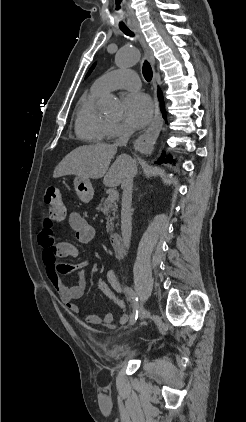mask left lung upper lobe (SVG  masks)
I'll use <instances>...</instances> for the list:
<instances>
[{"label": "left lung upper lobe", "instance_id": "5c2ea615", "mask_svg": "<svg viewBox=\"0 0 246 422\" xmlns=\"http://www.w3.org/2000/svg\"><path fill=\"white\" fill-rule=\"evenodd\" d=\"M94 66H95V65H93V66L91 67V69L89 70V72H88L87 76L91 73V71L93 70Z\"/></svg>", "mask_w": 246, "mask_h": 422}]
</instances>
